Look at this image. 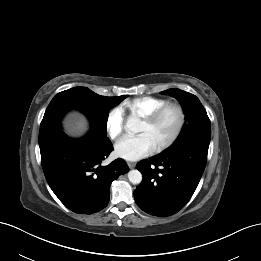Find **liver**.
Listing matches in <instances>:
<instances>
[{
    "instance_id": "1",
    "label": "liver",
    "mask_w": 261,
    "mask_h": 261,
    "mask_svg": "<svg viewBox=\"0 0 261 261\" xmlns=\"http://www.w3.org/2000/svg\"><path fill=\"white\" fill-rule=\"evenodd\" d=\"M85 128L84 121H79L76 123L75 131L81 132Z\"/></svg>"
}]
</instances>
